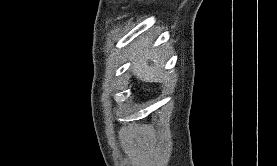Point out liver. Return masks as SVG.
Masks as SVG:
<instances>
[{"instance_id":"6515ba94","label":"liver","mask_w":277,"mask_h":166,"mask_svg":"<svg viewBox=\"0 0 277 166\" xmlns=\"http://www.w3.org/2000/svg\"><path fill=\"white\" fill-rule=\"evenodd\" d=\"M149 46L150 44L148 42H141L135 44L134 47L131 48V59H135L131 71L140 79L146 81H157L164 78V73L161 71L164 62L160 58V52H157V50L148 51ZM147 59L154 60V68L150 69L147 67L145 63Z\"/></svg>"}]
</instances>
